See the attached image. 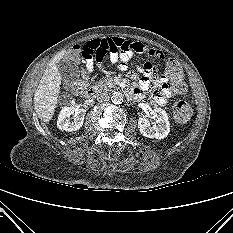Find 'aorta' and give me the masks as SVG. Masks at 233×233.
<instances>
[{"instance_id":"aorta-1","label":"aorta","mask_w":233,"mask_h":233,"mask_svg":"<svg viewBox=\"0 0 233 233\" xmlns=\"http://www.w3.org/2000/svg\"><path fill=\"white\" fill-rule=\"evenodd\" d=\"M124 100V95L121 92L115 91L111 95V101L114 104H121Z\"/></svg>"}]
</instances>
